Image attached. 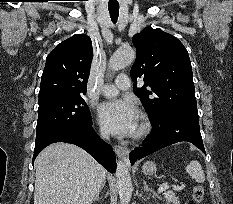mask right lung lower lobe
I'll list each match as a JSON object with an SVG mask.
<instances>
[{"mask_svg":"<svg viewBox=\"0 0 233 204\" xmlns=\"http://www.w3.org/2000/svg\"><path fill=\"white\" fill-rule=\"evenodd\" d=\"M88 126L74 128L59 132L41 141L35 142L33 162L36 156L48 145L55 142L72 143L87 151L105 169L113 173L116 171L115 153L112 146L104 142L91 127Z\"/></svg>","mask_w":233,"mask_h":204,"instance_id":"98d812e1","label":"right lung lower lobe"}]
</instances>
